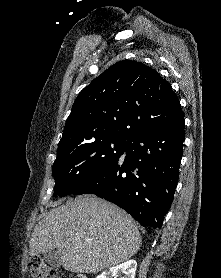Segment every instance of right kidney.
<instances>
[{
    "label": "right kidney",
    "instance_id": "ca27d5eb",
    "mask_svg": "<svg viewBox=\"0 0 221 278\" xmlns=\"http://www.w3.org/2000/svg\"><path fill=\"white\" fill-rule=\"evenodd\" d=\"M136 269V261L129 260L115 267L105 269L96 278H135Z\"/></svg>",
    "mask_w": 221,
    "mask_h": 278
}]
</instances>
